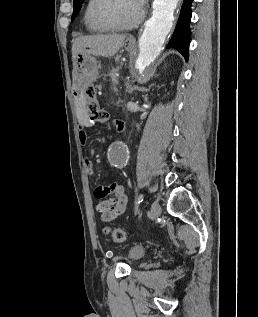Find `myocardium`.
<instances>
[{
	"mask_svg": "<svg viewBox=\"0 0 258 317\" xmlns=\"http://www.w3.org/2000/svg\"><path fill=\"white\" fill-rule=\"evenodd\" d=\"M122 1H128L132 4H134L138 10V17H137L136 22L134 23V25H132L131 27H128V28H123V27H119V26L115 25L113 22L108 20L104 16V13H103L104 9L106 7H108L109 5L114 4V3H118V2H122ZM93 17L98 24H100L101 26H103L109 30H113L116 32H128V31H132V30L136 29L140 25V23L142 22V20L144 18V9L138 0H99L94 7Z\"/></svg>",
	"mask_w": 258,
	"mask_h": 317,
	"instance_id": "myocardium-1",
	"label": "myocardium"
}]
</instances>
